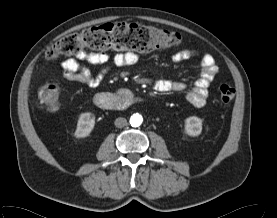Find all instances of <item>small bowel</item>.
Instances as JSON below:
<instances>
[{
    "instance_id": "small-bowel-1",
    "label": "small bowel",
    "mask_w": 277,
    "mask_h": 218,
    "mask_svg": "<svg viewBox=\"0 0 277 218\" xmlns=\"http://www.w3.org/2000/svg\"><path fill=\"white\" fill-rule=\"evenodd\" d=\"M197 55L196 50H182L172 56V61L180 63ZM109 62H111L110 65ZM137 62L138 56L133 52L117 53L110 57L105 52L82 51L73 58L63 60L60 68L65 79L78 82L89 88H97L102 84L112 67L123 68L135 65ZM200 64L201 74L194 82L193 87L186 92V99L196 107H203L206 104L209 85L219 72V68L211 55H203ZM89 65H101L102 67L94 73ZM153 88L162 93L182 92L187 90V85L181 81L158 79L154 81Z\"/></svg>"
}]
</instances>
